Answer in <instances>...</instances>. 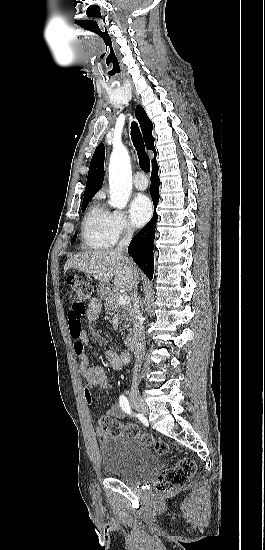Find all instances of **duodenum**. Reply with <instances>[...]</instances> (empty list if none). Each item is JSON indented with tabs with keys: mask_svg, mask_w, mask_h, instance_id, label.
I'll return each mask as SVG.
<instances>
[{
	"mask_svg": "<svg viewBox=\"0 0 265 550\" xmlns=\"http://www.w3.org/2000/svg\"><path fill=\"white\" fill-rule=\"evenodd\" d=\"M125 345L128 350H135L136 349V341L133 336H129L125 339Z\"/></svg>",
	"mask_w": 265,
	"mask_h": 550,
	"instance_id": "obj_1",
	"label": "duodenum"
}]
</instances>
